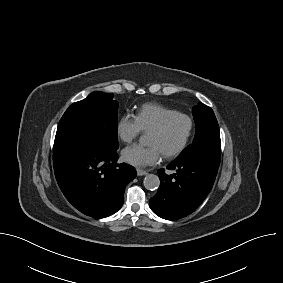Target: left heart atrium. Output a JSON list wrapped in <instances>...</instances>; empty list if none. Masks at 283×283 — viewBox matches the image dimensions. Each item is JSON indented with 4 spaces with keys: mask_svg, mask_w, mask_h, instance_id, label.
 I'll return each mask as SVG.
<instances>
[{
    "mask_svg": "<svg viewBox=\"0 0 283 283\" xmlns=\"http://www.w3.org/2000/svg\"><path fill=\"white\" fill-rule=\"evenodd\" d=\"M161 151L155 145H133L127 147L122 152V157L127 163L138 166L146 167L154 165L160 159Z\"/></svg>",
    "mask_w": 283,
    "mask_h": 283,
    "instance_id": "1",
    "label": "left heart atrium"
}]
</instances>
